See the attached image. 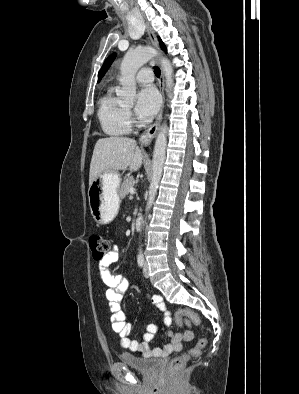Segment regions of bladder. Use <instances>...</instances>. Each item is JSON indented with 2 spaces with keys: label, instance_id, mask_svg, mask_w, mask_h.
<instances>
[{
  "label": "bladder",
  "instance_id": "31cf9c89",
  "mask_svg": "<svg viewBox=\"0 0 299 394\" xmlns=\"http://www.w3.org/2000/svg\"><path fill=\"white\" fill-rule=\"evenodd\" d=\"M120 358L123 363L143 374L154 372L161 364L159 359L142 357L128 352H123Z\"/></svg>",
  "mask_w": 299,
  "mask_h": 394
}]
</instances>
